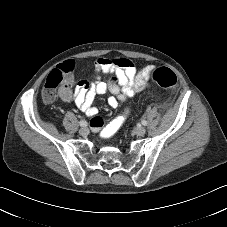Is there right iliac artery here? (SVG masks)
Listing matches in <instances>:
<instances>
[{
    "instance_id": "obj_1",
    "label": "right iliac artery",
    "mask_w": 227,
    "mask_h": 227,
    "mask_svg": "<svg viewBox=\"0 0 227 227\" xmlns=\"http://www.w3.org/2000/svg\"><path fill=\"white\" fill-rule=\"evenodd\" d=\"M79 124H80V126H82V127H86V126H87V122L84 121V120L80 121Z\"/></svg>"
}]
</instances>
